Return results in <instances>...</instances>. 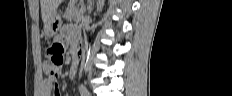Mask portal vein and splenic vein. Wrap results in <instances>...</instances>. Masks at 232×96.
I'll list each match as a JSON object with an SVG mask.
<instances>
[{
    "mask_svg": "<svg viewBox=\"0 0 232 96\" xmlns=\"http://www.w3.org/2000/svg\"><path fill=\"white\" fill-rule=\"evenodd\" d=\"M81 18H82V16H81V17H78L77 20H80Z\"/></svg>",
    "mask_w": 232,
    "mask_h": 96,
    "instance_id": "portal-vein-and-splenic-vein-1",
    "label": "portal vein and splenic vein"
}]
</instances>
